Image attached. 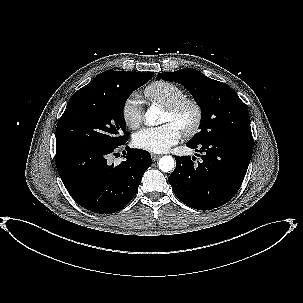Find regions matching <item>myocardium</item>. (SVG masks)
Wrapping results in <instances>:
<instances>
[{
  "mask_svg": "<svg viewBox=\"0 0 303 303\" xmlns=\"http://www.w3.org/2000/svg\"><path fill=\"white\" fill-rule=\"evenodd\" d=\"M186 107L192 109L193 119L189 125L183 126L181 128V131L185 136L191 137L194 136L200 130L202 124L203 111L200 104L192 98L184 97L178 100L177 102L173 103L172 105L165 107V111L168 112L170 115L175 116Z\"/></svg>",
  "mask_w": 303,
  "mask_h": 303,
  "instance_id": "1",
  "label": "myocardium"
}]
</instances>
